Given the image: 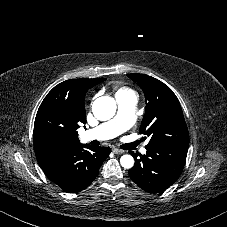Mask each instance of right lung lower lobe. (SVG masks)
Here are the masks:
<instances>
[{"mask_svg":"<svg viewBox=\"0 0 227 227\" xmlns=\"http://www.w3.org/2000/svg\"><path fill=\"white\" fill-rule=\"evenodd\" d=\"M110 152L111 149L107 147L78 144L41 163L40 167L46 176L64 191L76 193L95 180L100 166Z\"/></svg>","mask_w":227,"mask_h":227,"instance_id":"right-lung-lower-lobe-1","label":"right lung lower lobe"}]
</instances>
